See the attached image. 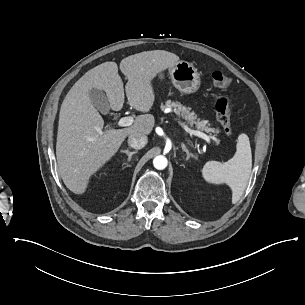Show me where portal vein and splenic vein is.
<instances>
[{
  "mask_svg": "<svg viewBox=\"0 0 305 305\" xmlns=\"http://www.w3.org/2000/svg\"><path fill=\"white\" fill-rule=\"evenodd\" d=\"M131 124H132V118H131V117H122V118H120V119L118 120V122H117L116 125H117L118 127H127V126H130ZM185 131H186V132L189 131V128H188L187 125L185 126ZM99 133H100L101 135L104 134L103 131H100ZM195 134H196L198 137L204 139L208 144H211V139H212V136H211V135H207V134L202 133V132H195Z\"/></svg>",
  "mask_w": 305,
  "mask_h": 305,
  "instance_id": "obj_1",
  "label": "portal vein and splenic vein"
}]
</instances>
